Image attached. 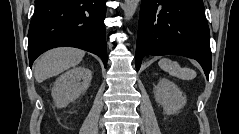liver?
<instances>
[{
  "label": "liver",
  "instance_id": "6515ba94",
  "mask_svg": "<svg viewBox=\"0 0 239 134\" xmlns=\"http://www.w3.org/2000/svg\"><path fill=\"white\" fill-rule=\"evenodd\" d=\"M85 51L77 48H56L45 52L36 62L34 75L38 83L79 64Z\"/></svg>",
  "mask_w": 239,
  "mask_h": 134
}]
</instances>
